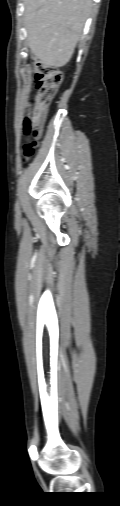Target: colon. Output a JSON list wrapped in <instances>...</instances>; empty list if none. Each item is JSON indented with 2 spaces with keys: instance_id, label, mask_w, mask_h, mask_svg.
<instances>
[{
  "instance_id": "colon-1",
  "label": "colon",
  "mask_w": 120,
  "mask_h": 506,
  "mask_svg": "<svg viewBox=\"0 0 120 506\" xmlns=\"http://www.w3.org/2000/svg\"><path fill=\"white\" fill-rule=\"evenodd\" d=\"M22 55L27 62H33L34 59L30 56L29 51H24ZM35 77L37 81L36 93L28 104L23 124L24 132L29 137V141L24 145V161L35 153L38 139L42 134L46 109L62 80L61 72L40 63L35 66Z\"/></svg>"
}]
</instances>
